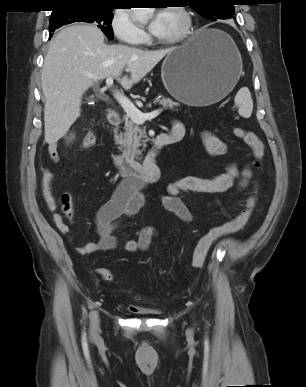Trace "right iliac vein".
Listing matches in <instances>:
<instances>
[{
	"mask_svg": "<svg viewBox=\"0 0 306 387\" xmlns=\"http://www.w3.org/2000/svg\"><path fill=\"white\" fill-rule=\"evenodd\" d=\"M90 321H91V330L93 333H96L99 328V317L97 312L93 311L90 314Z\"/></svg>",
	"mask_w": 306,
	"mask_h": 387,
	"instance_id": "right-iliac-vein-1",
	"label": "right iliac vein"
}]
</instances>
